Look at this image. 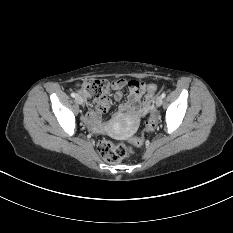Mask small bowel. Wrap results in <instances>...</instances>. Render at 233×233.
<instances>
[{
  "instance_id": "1",
  "label": "small bowel",
  "mask_w": 233,
  "mask_h": 233,
  "mask_svg": "<svg viewBox=\"0 0 233 233\" xmlns=\"http://www.w3.org/2000/svg\"><path fill=\"white\" fill-rule=\"evenodd\" d=\"M112 89L114 90L113 98L116 101L123 99V89L128 86L129 94L126 100L119 106L121 113H126L131 123L136 122L138 118L146 114L143 108V97L146 85L138 80L118 79L113 81ZM90 109L86 115V121L94 131H101L103 123L101 121V111L108 110L111 106L109 98L104 100H88Z\"/></svg>"
}]
</instances>
